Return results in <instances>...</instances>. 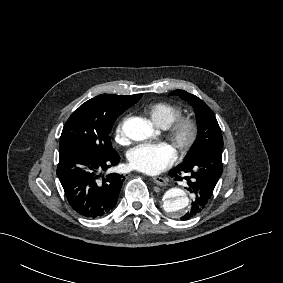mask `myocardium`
Returning <instances> with one entry per match:
<instances>
[{
	"instance_id": "myocardium-1",
	"label": "myocardium",
	"mask_w": 283,
	"mask_h": 283,
	"mask_svg": "<svg viewBox=\"0 0 283 283\" xmlns=\"http://www.w3.org/2000/svg\"><path fill=\"white\" fill-rule=\"evenodd\" d=\"M168 138L176 144L183 158L195 145L199 127L195 119L180 117L167 128Z\"/></svg>"
}]
</instances>
